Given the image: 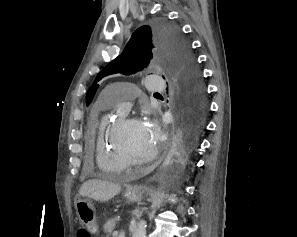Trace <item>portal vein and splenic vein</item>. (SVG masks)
<instances>
[{"label":"portal vein and splenic vein","mask_w":297,"mask_h":237,"mask_svg":"<svg viewBox=\"0 0 297 237\" xmlns=\"http://www.w3.org/2000/svg\"><path fill=\"white\" fill-rule=\"evenodd\" d=\"M118 235V231L113 232V237H116Z\"/></svg>","instance_id":"obj_1"}]
</instances>
